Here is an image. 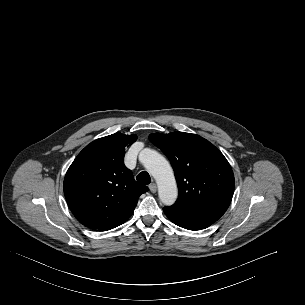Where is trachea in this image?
<instances>
[{
  "mask_svg": "<svg viewBox=\"0 0 305 305\" xmlns=\"http://www.w3.org/2000/svg\"><path fill=\"white\" fill-rule=\"evenodd\" d=\"M136 179L139 183L144 184V185H148L151 182L150 175L145 171L139 173L137 175Z\"/></svg>",
  "mask_w": 305,
  "mask_h": 305,
  "instance_id": "1",
  "label": "trachea"
}]
</instances>
